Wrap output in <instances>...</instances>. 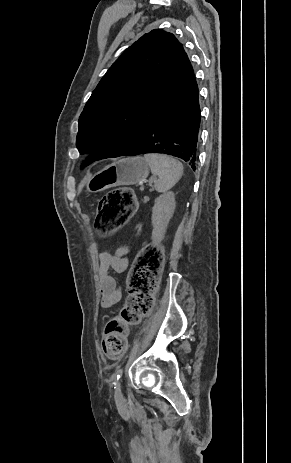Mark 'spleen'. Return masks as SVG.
Segmentation results:
<instances>
[{"label":"spleen","mask_w":291,"mask_h":463,"mask_svg":"<svg viewBox=\"0 0 291 463\" xmlns=\"http://www.w3.org/2000/svg\"><path fill=\"white\" fill-rule=\"evenodd\" d=\"M151 173L156 176L155 189L158 192H167L183 175V165L178 160L162 154H146Z\"/></svg>","instance_id":"spleen-1"}]
</instances>
